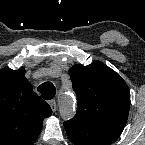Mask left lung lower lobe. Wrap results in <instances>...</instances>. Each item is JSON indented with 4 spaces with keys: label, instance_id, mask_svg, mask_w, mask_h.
I'll return each instance as SVG.
<instances>
[{
    "label": "left lung lower lobe",
    "instance_id": "1",
    "mask_svg": "<svg viewBox=\"0 0 145 145\" xmlns=\"http://www.w3.org/2000/svg\"><path fill=\"white\" fill-rule=\"evenodd\" d=\"M64 127L75 145H109L124 129L119 126H92L76 123H64Z\"/></svg>",
    "mask_w": 145,
    "mask_h": 145
}]
</instances>
